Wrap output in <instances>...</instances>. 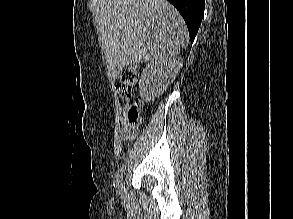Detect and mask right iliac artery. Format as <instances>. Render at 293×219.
Wrapping results in <instances>:
<instances>
[{
	"label": "right iliac artery",
	"instance_id": "1",
	"mask_svg": "<svg viewBox=\"0 0 293 219\" xmlns=\"http://www.w3.org/2000/svg\"><path fill=\"white\" fill-rule=\"evenodd\" d=\"M125 166H122L119 170H118V172H117V174H116V176H115V182H114V186H115V188L117 189V191L120 193V189H121V187H122V178H123V173H124V171H125Z\"/></svg>",
	"mask_w": 293,
	"mask_h": 219
}]
</instances>
